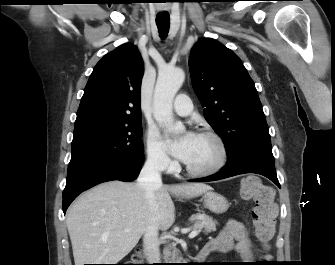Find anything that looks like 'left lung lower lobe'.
Wrapping results in <instances>:
<instances>
[{
    "instance_id": "0a47b994",
    "label": "left lung lower lobe",
    "mask_w": 335,
    "mask_h": 265,
    "mask_svg": "<svg viewBox=\"0 0 335 265\" xmlns=\"http://www.w3.org/2000/svg\"><path fill=\"white\" fill-rule=\"evenodd\" d=\"M244 173H256L263 175L274 182L279 188L280 184L277 178L274 164L260 160H243L236 163H227L226 166L218 173L200 179H193L192 182H208L232 177Z\"/></svg>"
}]
</instances>
